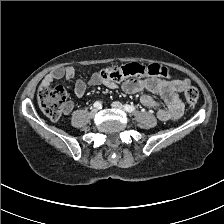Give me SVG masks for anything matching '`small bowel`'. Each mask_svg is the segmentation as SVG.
Listing matches in <instances>:
<instances>
[{
  "mask_svg": "<svg viewBox=\"0 0 224 224\" xmlns=\"http://www.w3.org/2000/svg\"><path fill=\"white\" fill-rule=\"evenodd\" d=\"M75 76V68L73 66H65L57 68L48 73L42 80L41 86H50L54 81L60 79L71 80ZM90 86L104 85L108 88H115L117 84L102 78L100 73H94L89 79ZM189 85L187 79H159L150 77L147 79L128 80L122 83V89L127 93H137L142 90H148L152 93L158 94L164 101L166 108L154 99L149 94L141 96L140 101L142 105L156 110V116L162 121L176 120L183 114L184 104L180 93L183 92ZM86 84L78 78L75 81L74 92L77 97H82L85 94ZM73 109V103H69V107L64 111L68 114Z\"/></svg>",
  "mask_w": 224,
  "mask_h": 224,
  "instance_id": "c3829d8e",
  "label": "small bowel"
}]
</instances>
